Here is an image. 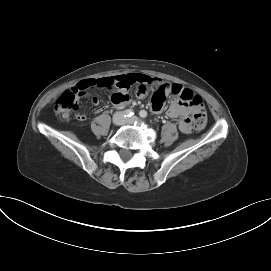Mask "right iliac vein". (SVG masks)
Segmentation results:
<instances>
[{"label":"right iliac vein","instance_id":"right-iliac-vein-1","mask_svg":"<svg viewBox=\"0 0 271 271\" xmlns=\"http://www.w3.org/2000/svg\"><path fill=\"white\" fill-rule=\"evenodd\" d=\"M124 121V117L123 114L118 112L116 114H114L113 118H112V122L114 125H121Z\"/></svg>","mask_w":271,"mask_h":271}]
</instances>
